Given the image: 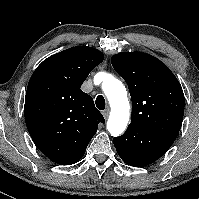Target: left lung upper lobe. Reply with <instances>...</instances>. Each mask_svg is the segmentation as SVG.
<instances>
[{"mask_svg":"<svg viewBox=\"0 0 199 199\" xmlns=\"http://www.w3.org/2000/svg\"><path fill=\"white\" fill-rule=\"evenodd\" d=\"M126 81L132 100L131 123L172 142L182 125L185 98L171 70L142 52H122L111 58Z\"/></svg>","mask_w":199,"mask_h":199,"instance_id":"left-lung-upper-lobe-1","label":"left lung upper lobe"}]
</instances>
